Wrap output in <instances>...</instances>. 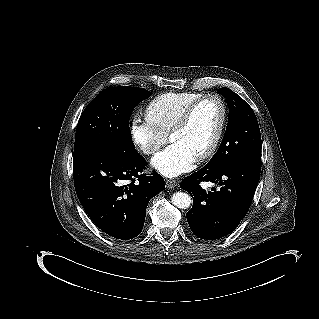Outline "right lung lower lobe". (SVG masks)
Returning <instances> with one entry per match:
<instances>
[{"label":"right lung lower lobe","instance_id":"right-lung-lower-lobe-1","mask_svg":"<svg viewBox=\"0 0 319 319\" xmlns=\"http://www.w3.org/2000/svg\"><path fill=\"white\" fill-rule=\"evenodd\" d=\"M74 185L91 220L105 233L131 239L143 229L149 200L165 189L164 179L141 174L145 159L136 150L94 146L74 151ZM123 180L127 185L114 182Z\"/></svg>","mask_w":319,"mask_h":319}]
</instances>
